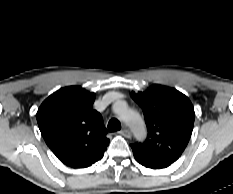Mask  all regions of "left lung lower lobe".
Instances as JSON below:
<instances>
[{
  "label": "left lung lower lobe",
  "instance_id": "1",
  "mask_svg": "<svg viewBox=\"0 0 233 194\" xmlns=\"http://www.w3.org/2000/svg\"><path fill=\"white\" fill-rule=\"evenodd\" d=\"M134 157L140 164H142L143 166L147 168H152V169L166 168L172 164L169 162L149 160L147 158H143L137 155H134Z\"/></svg>",
  "mask_w": 233,
  "mask_h": 194
}]
</instances>
